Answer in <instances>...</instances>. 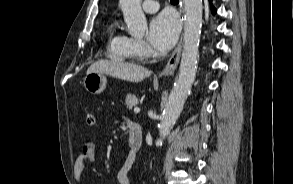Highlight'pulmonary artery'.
Wrapping results in <instances>:
<instances>
[{"label": "pulmonary artery", "instance_id": "e3ab8cb5", "mask_svg": "<svg viewBox=\"0 0 293 184\" xmlns=\"http://www.w3.org/2000/svg\"><path fill=\"white\" fill-rule=\"evenodd\" d=\"M142 8L147 13H154L159 9V3L155 0H144Z\"/></svg>", "mask_w": 293, "mask_h": 184}]
</instances>
